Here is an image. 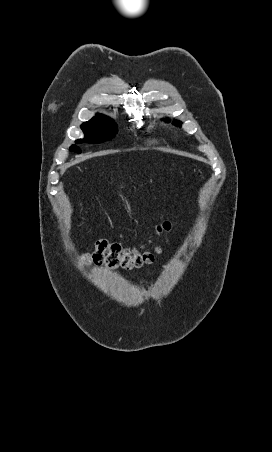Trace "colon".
I'll list each match as a JSON object with an SVG mask.
<instances>
[{"instance_id": "1", "label": "colon", "mask_w": 272, "mask_h": 452, "mask_svg": "<svg viewBox=\"0 0 272 452\" xmlns=\"http://www.w3.org/2000/svg\"><path fill=\"white\" fill-rule=\"evenodd\" d=\"M171 229L172 223L163 222L157 227V232L162 235L170 232ZM154 251L159 252L160 248L155 247ZM153 257L152 251L143 248H125L118 243L100 240L96 242L94 250L85 255V262L106 265L110 268L132 269L151 263Z\"/></svg>"}]
</instances>
